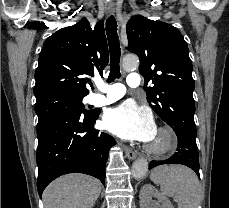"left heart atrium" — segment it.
Segmentation results:
<instances>
[{"instance_id": "1", "label": "left heart atrium", "mask_w": 229, "mask_h": 208, "mask_svg": "<svg viewBox=\"0 0 229 208\" xmlns=\"http://www.w3.org/2000/svg\"><path fill=\"white\" fill-rule=\"evenodd\" d=\"M103 126L110 132L127 140L150 141L156 133L150 110L128 100L109 109Z\"/></svg>"}]
</instances>
